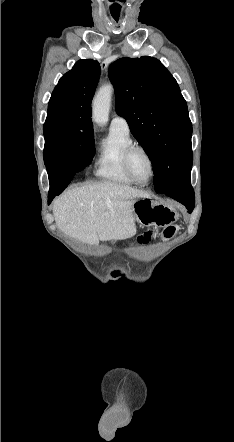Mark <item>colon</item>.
<instances>
[{
  "label": "colon",
  "mask_w": 234,
  "mask_h": 442,
  "mask_svg": "<svg viewBox=\"0 0 234 442\" xmlns=\"http://www.w3.org/2000/svg\"><path fill=\"white\" fill-rule=\"evenodd\" d=\"M175 233V227L174 226H168L167 228L164 229L163 231V236L165 238H170L173 234ZM151 231H145L142 234H140L138 236V242L141 244H146L150 241L151 239Z\"/></svg>",
  "instance_id": "1"
}]
</instances>
